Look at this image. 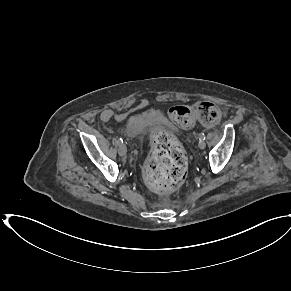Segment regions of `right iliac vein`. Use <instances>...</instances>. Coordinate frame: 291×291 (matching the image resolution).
Wrapping results in <instances>:
<instances>
[{
	"label": "right iliac vein",
	"instance_id": "obj_1",
	"mask_svg": "<svg viewBox=\"0 0 291 291\" xmlns=\"http://www.w3.org/2000/svg\"><path fill=\"white\" fill-rule=\"evenodd\" d=\"M118 153L121 157H125L127 153V148L125 144H120L118 147Z\"/></svg>",
	"mask_w": 291,
	"mask_h": 291
}]
</instances>
